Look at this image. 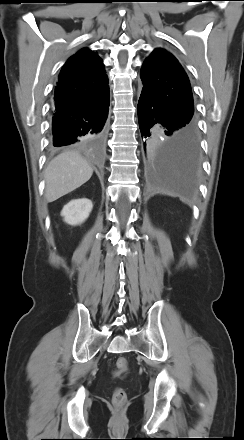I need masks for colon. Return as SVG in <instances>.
<instances>
[{
	"label": "colon",
	"mask_w": 244,
	"mask_h": 440,
	"mask_svg": "<svg viewBox=\"0 0 244 440\" xmlns=\"http://www.w3.org/2000/svg\"><path fill=\"white\" fill-rule=\"evenodd\" d=\"M129 362L125 357H120L116 362V374H121L128 369ZM127 395L122 388H116L113 392V403L121 406L125 403Z\"/></svg>",
	"instance_id": "colon-1"
}]
</instances>
